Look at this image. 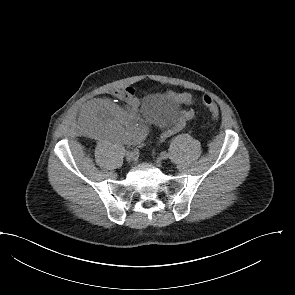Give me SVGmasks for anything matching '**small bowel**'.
<instances>
[{
    "mask_svg": "<svg viewBox=\"0 0 295 295\" xmlns=\"http://www.w3.org/2000/svg\"><path fill=\"white\" fill-rule=\"evenodd\" d=\"M168 94L183 104H191L193 101L192 96L188 93L169 91ZM113 96L126 101L131 110H122L110 100L95 99L84 105L81 111L83 122L104 137L137 144L143 142L149 129L137 114L139 99L134 89L131 87L118 88L113 91ZM192 117V110L184 111L177 122L163 133L162 137L167 138L178 132Z\"/></svg>",
    "mask_w": 295,
    "mask_h": 295,
    "instance_id": "c3829d8e",
    "label": "small bowel"
}]
</instances>
